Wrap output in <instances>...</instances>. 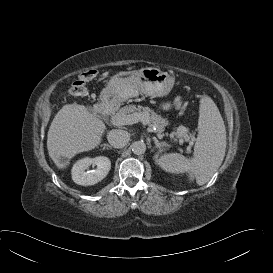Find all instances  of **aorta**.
Here are the masks:
<instances>
[{"label":"aorta","instance_id":"1","mask_svg":"<svg viewBox=\"0 0 273 273\" xmlns=\"http://www.w3.org/2000/svg\"><path fill=\"white\" fill-rule=\"evenodd\" d=\"M131 150L136 155H141L146 151V144L144 141H135L131 145Z\"/></svg>","mask_w":273,"mask_h":273}]
</instances>
